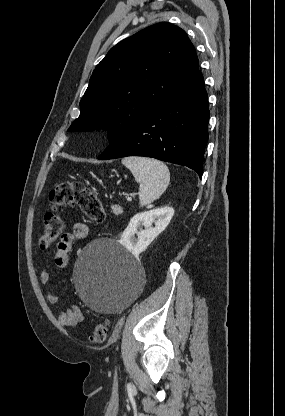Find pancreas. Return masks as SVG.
Returning <instances> with one entry per match:
<instances>
[{
  "label": "pancreas",
  "mask_w": 285,
  "mask_h": 416,
  "mask_svg": "<svg viewBox=\"0 0 285 416\" xmlns=\"http://www.w3.org/2000/svg\"><path fill=\"white\" fill-rule=\"evenodd\" d=\"M113 212L119 216V214H123V208L121 206H111Z\"/></svg>",
  "instance_id": "pancreas-1"
}]
</instances>
